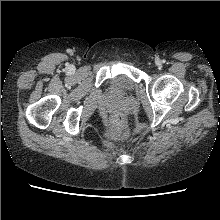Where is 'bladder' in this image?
I'll return each instance as SVG.
<instances>
[{"label": "bladder", "instance_id": "1", "mask_svg": "<svg viewBox=\"0 0 220 220\" xmlns=\"http://www.w3.org/2000/svg\"><path fill=\"white\" fill-rule=\"evenodd\" d=\"M134 89V82L127 76H119L115 81L114 90L118 94H126Z\"/></svg>", "mask_w": 220, "mask_h": 220}]
</instances>
